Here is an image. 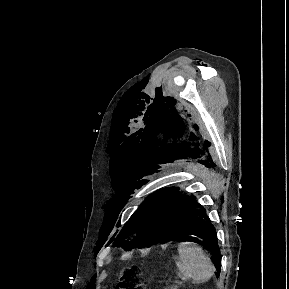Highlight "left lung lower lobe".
Returning a JSON list of instances; mask_svg holds the SVG:
<instances>
[{
    "instance_id": "left-lung-lower-lobe-1",
    "label": "left lung lower lobe",
    "mask_w": 289,
    "mask_h": 289,
    "mask_svg": "<svg viewBox=\"0 0 289 289\" xmlns=\"http://www.w3.org/2000/svg\"><path fill=\"white\" fill-rule=\"evenodd\" d=\"M164 215L169 218L165 242L179 237L208 248L217 259L215 267L220 273V250L216 231L204 207L197 204L193 198L180 194L168 203Z\"/></svg>"
}]
</instances>
